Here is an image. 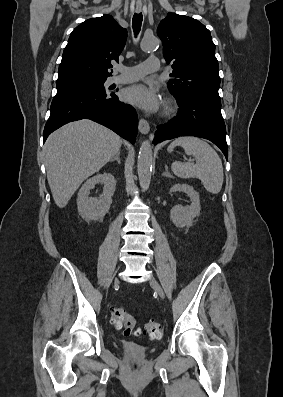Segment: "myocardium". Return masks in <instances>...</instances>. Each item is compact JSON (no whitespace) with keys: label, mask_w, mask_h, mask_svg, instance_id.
I'll return each instance as SVG.
<instances>
[{"label":"myocardium","mask_w":283,"mask_h":397,"mask_svg":"<svg viewBox=\"0 0 283 397\" xmlns=\"http://www.w3.org/2000/svg\"><path fill=\"white\" fill-rule=\"evenodd\" d=\"M175 111V105L172 101H166L164 105V114L170 115Z\"/></svg>","instance_id":"f54148a6"}]
</instances>
